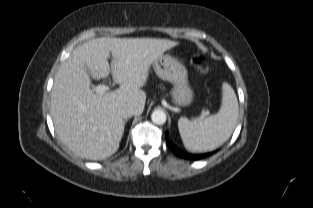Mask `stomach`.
<instances>
[{"label": "stomach", "instance_id": "1", "mask_svg": "<svg viewBox=\"0 0 313 208\" xmlns=\"http://www.w3.org/2000/svg\"><path fill=\"white\" fill-rule=\"evenodd\" d=\"M155 73L163 80L173 84L171 97L174 104L187 106L191 103L193 92L188 83L185 66L170 55H161L154 63Z\"/></svg>", "mask_w": 313, "mask_h": 208}]
</instances>
